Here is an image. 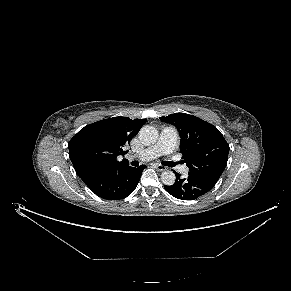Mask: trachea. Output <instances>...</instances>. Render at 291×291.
<instances>
[{"mask_svg":"<svg viewBox=\"0 0 291 291\" xmlns=\"http://www.w3.org/2000/svg\"><path fill=\"white\" fill-rule=\"evenodd\" d=\"M132 164H133L134 166H137V165H138V162H137V161H134ZM165 165L172 167V166L175 165V163L167 162Z\"/></svg>","mask_w":291,"mask_h":291,"instance_id":"3493384b","label":"trachea"}]
</instances>
